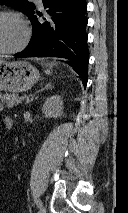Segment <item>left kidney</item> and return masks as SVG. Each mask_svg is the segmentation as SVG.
Returning a JSON list of instances; mask_svg holds the SVG:
<instances>
[{
  "mask_svg": "<svg viewBox=\"0 0 128 213\" xmlns=\"http://www.w3.org/2000/svg\"><path fill=\"white\" fill-rule=\"evenodd\" d=\"M62 110L63 100L59 95L49 97L42 107V112L49 118H57L61 115Z\"/></svg>",
  "mask_w": 128,
  "mask_h": 213,
  "instance_id": "obj_1",
  "label": "left kidney"
}]
</instances>
